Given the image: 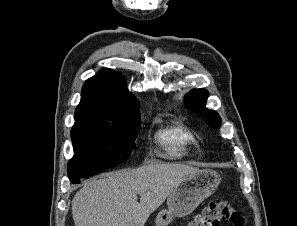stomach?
Wrapping results in <instances>:
<instances>
[{
	"label": "stomach",
	"instance_id": "0dacf381",
	"mask_svg": "<svg viewBox=\"0 0 297 226\" xmlns=\"http://www.w3.org/2000/svg\"><path fill=\"white\" fill-rule=\"evenodd\" d=\"M218 173L202 169L194 176L180 181L167 198V209L156 217V226H167L174 217H185L207 197L212 195L220 183Z\"/></svg>",
	"mask_w": 297,
	"mask_h": 226
}]
</instances>
